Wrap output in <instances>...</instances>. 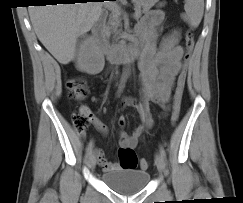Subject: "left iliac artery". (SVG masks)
I'll use <instances>...</instances> for the list:
<instances>
[{"mask_svg":"<svg viewBox=\"0 0 243 203\" xmlns=\"http://www.w3.org/2000/svg\"><path fill=\"white\" fill-rule=\"evenodd\" d=\"M160 154L162 155V157L165 159L166 158V152L164 150V148L162 146H160Z\"/></svg>","mask_w":243,"mask_h":203,"instance_id":"44dca946","label":"left iliac artery"}]
</instances>
